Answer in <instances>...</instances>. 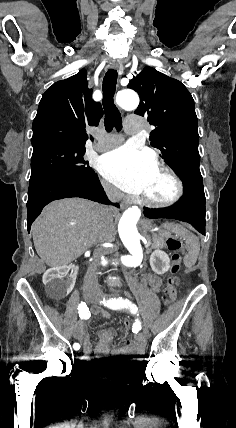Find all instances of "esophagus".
I'll use <instances>...</instances> for the list:
<instances>
[{
	"label": "esophagus",
	"mask_w": 236,
	"mask_h": 428,
	"mask_svg": "<svg viewBox=\"0 0 236 428\" xmlns=\"http://www.w3.org/2000/svg\"><path fill=\"white\" fill-rule=\"evenodd\" d=\"M110 66H111V68H113V69H118L119 68V63L118 62H111L110 63Z\"/></svg>",
	"instance_id": "1"
}]
</instances>
